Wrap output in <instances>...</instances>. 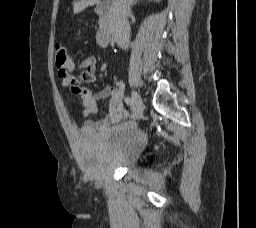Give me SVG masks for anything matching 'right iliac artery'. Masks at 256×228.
I'll list each match as a JSON object with an SVG mask.
<instances>
[{
    "mask_svg": "<svg viewBox=\"0 0 256 228\" xmlns=\"http://www.w3.org/2000/svg\"><path fill=\"white\" fill-rule=\"evenodd\" d=\"M124 101L127 105L133 106V100L130 97H125Z\"/></svg>",
    "mask_w": 256,
    "mask_h": 228,
    "instance_id": "82829eb1",
    "label": "right iliac artery"
}]
</instances>
